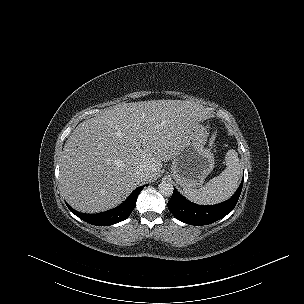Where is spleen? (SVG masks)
I'll use <instances>...</instances> for the list:
<instances>
[{
  "instance_id": "obj_1",
  "label": "spleen",
  "mask_w": 304,
  "mask_h": 304,
  "mask_svg": "<svg viewBox=\"0 0 304 304\" xmlns=\"http://www.w3.org/2000/svg\"><path fill=\"white\" fill-rule=\"evenodd\" d=\"M226 169L211 179L200 189H183L185 196L192 202L201 205H213L230 198L239 185L242 173L238 154L235 150L226 153Z\"/></svg>"
}]
</instances>
